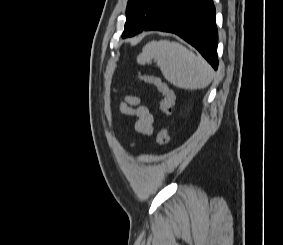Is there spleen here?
<instances>
[{
    "instance_id": "3e777b00",
    "label": "spleen",
    "mask_w": 283,
    "mask_h": 245,
    "mask_svg": "<svg viewBox=\"0 0 283 245\" xmlns=\"http://www.w3.org/2000/svg\"><path fill=\"white\" fill-rule=\"evenodd\" d=\"M156 61L165 79L174 86L187 90L203 89L213 79L211 66L175 41H152L144 46L137 57L141 65Z\"/></svg>"
}]
</instances>
